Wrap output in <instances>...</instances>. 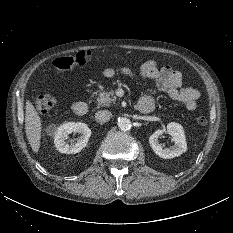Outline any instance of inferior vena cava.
<instances>
[{
  "instance_id": "obj_1",
  "label": "inferior vena cava",
  "mask_w": 233,
  "mask_h": 233,
  "mask_svg": "<svg viewBox=\"0 0 233 233\" xmlns=\"http://www.w3.org/2000/svg\"><path fill=\"white\" fill-rule=\"evenodd\" d=\"M95 118L99 122H108L112 118V113L108 110H100L95 114Z\"/></svg>"
}]
</instances>
